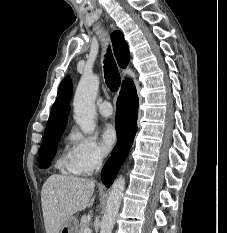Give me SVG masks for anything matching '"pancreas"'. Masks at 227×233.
<instances>
[{
  "instance_id": "1",
  "label": "pancreas",
  "mask_w": 227,
  "mask_h": 233,
  "mask_svg": "<svg viewBox=\"0 0 227 233\" xmlns=\"http://www.w3.org/2000/svg\"><path fill=\"white\" fill-rule=\"evenodd\" d=\"M85 228H86V224L81 223L80 226H79V231H78V233H83V231H84Z\"/></svg>"
}]
</instances>
